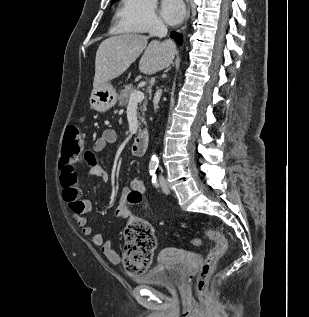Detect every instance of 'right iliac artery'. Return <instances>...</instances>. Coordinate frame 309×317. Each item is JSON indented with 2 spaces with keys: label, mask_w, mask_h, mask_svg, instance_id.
<instances>
[{
  "label": "right iliac artery",
  "mask_w": 309,
  "mask_h": 317,
  "mask_svg": "<svg viewBox=\"0 0 309 317\" xmlns=\"http://www.w3.org/2000/svg\"><path fill=\"white\" fill-rule=\"evenodd\" d=\"M156 170H157V165H150L149 166V171H150L151 175H154Z\"/></svg>",
  "instance_id": "right-iliac-artery-1"
}]
</instances>
